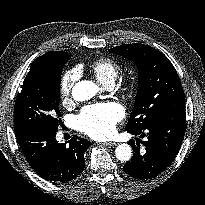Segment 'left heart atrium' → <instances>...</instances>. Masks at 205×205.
Here are the masks:
<instances>
[{
    "mask_svg": "<svg viewBox=\"0 0 205 205\" xmlns=\"http://www.w3.org/2000/svg\"><path fill=\"white\" fill-rule=\"evenodd\" d=\"M123 116L124 109L118 103L107 102L84 107L76 122L82 132L102 139L113 134Z\"/></svg>",
    "mask_w": 205,
    "mask_h": 205,
    "instance_id": "obj_1",
    "label": "left heart atrium"
}]
</instances>
